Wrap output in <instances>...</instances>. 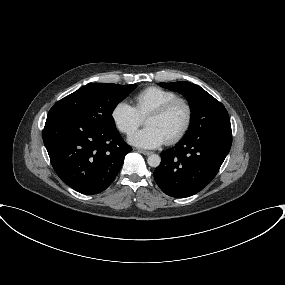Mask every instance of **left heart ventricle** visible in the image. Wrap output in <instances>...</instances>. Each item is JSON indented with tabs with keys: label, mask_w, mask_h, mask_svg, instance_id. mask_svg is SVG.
Here are the masks:
<instances>
[{
	"label": "left heart ventricle",
	"mask_w": 285,
	"mask_h": 285,
	"mask_svg": "<svg viewBox=\"0 0 285 285\" xmlns=\"http://www.w3.org/2000/svg\"><path fill=\"white\" fill-rule=\"evenodd\" d=\"M185 108L182 105L174 106L163 116H148L145 119L146 126H154L161 131L166 139L175 134L185 120Z\"/></svg>",
	"instance_id": "obj_1"
}]
</instances>
